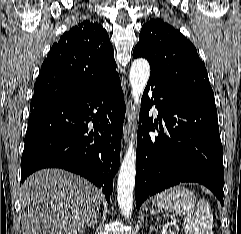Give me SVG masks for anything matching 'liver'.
<instances>
[{
	"label": "liver",
	"mask_w": 241,
	"mask_h": 234,
	"mask_svg": "<svg viewBox=\"0 0 241 234\" xmlns=\"http://www.w3.org/2000/svg\"><path fill=\"white\" fill-rule=\"evenodd\" d=\"M102 193L86 179L62 169L29 176L20 191L23 234H81L92 225Z\"/></svg>",
	"instance_id": "1"
}]
</instances>
